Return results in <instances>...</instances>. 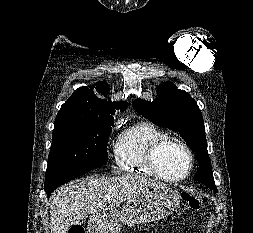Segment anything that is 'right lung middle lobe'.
<instances>
[{
  "mask_svg": "<svg viewBox=\"0 0 253 233\" xmlns=\"http://www.w3.org/2000/svg\"><path fill=\"white\" fill-rule=\"evenodd\" d=\"M113 117L78 113L56 116L46 175L68 168L104 165Z\"/></svg>",
  "mask_w": 253,
  "mask_h": 233,
  "instance_id": "right-lung-middle-lobe-1",
  "label": "right lung middle lobe"
}]
</instances>
